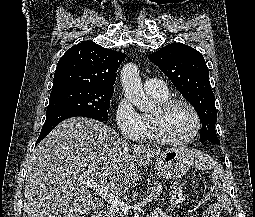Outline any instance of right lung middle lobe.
<instances>
[{
    "label": "right lung middle lobe",
    "instance_id": "1",
    "mask_svg": "<svg viewBox=\"0 0 255 217\" xmlns=\"http://www.w3.org/2000/svg\"><path fill=\"white\" fill-rule=\"evenodd\" d=\"M114 90H102L81 85L52 88L47 113L58 110L79 112L96 120L106 121Z\"/></svg>",
    "mask_w": 255,
    "mask_h": 217
}]
</instances>
